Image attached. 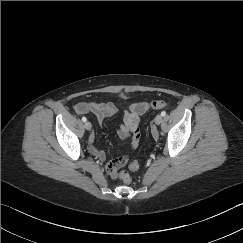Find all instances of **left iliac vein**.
I'll return each instance as SVG.
<instances>
[{
    "mask_svg": "<svg viewBox=\"0 0 243 243\" xmlns=\"http://www.w3.org/2000/svg\"><path fill=\"white\" fill-rule=\"evenodd\" d=\"M162 120H163V117H162L160 114H158V115L155 117V119H154L156 125L161 124V123H162Z\"/></svg>",
    "mask_w": 243,
    "mask_h": 243,
    "instance_id": "1",
    "label": "left iliac vein"
}]
</instances>
